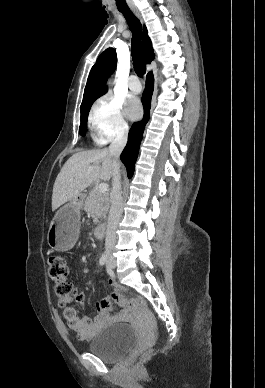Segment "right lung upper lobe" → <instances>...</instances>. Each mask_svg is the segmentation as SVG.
Instances as JSON below:
<instances>
[{"mask_svg":"<svg viewBox=\"0 0 265 388\" xmlns=\"http://www.w3.org/2000/svg\"><path fill=\"white\" fill-rule=\"evenodd\" d=\"M143 43L146 53V61L150 63L154 59V52L152 48L151 40L148 36L147 30L144 28L143 31ZM117 65V55L116 51L113 48H107L102 54L98 57L96 63L92 67L87 84L84 90V96L82 104L88 100L103 95L107 92L108 88L106 86L107 77L112 72ZM81 104V105H82Z\"/></svg>","mask_w":265,"mask_h":388,"instance_id":"cb5924a9","label":"right lung upper lobe"}]
</instances>
